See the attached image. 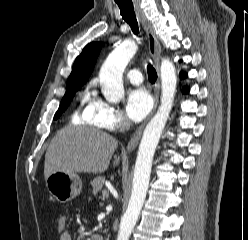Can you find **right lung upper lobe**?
I'll return each instance as SVG.
<instances>
[{
  "label": "right lung upper lobe",
  "instance_id": "1",
  "mask_svg": "<svg viewBox=\"0 0 248 240\" xmlns=\"http://www.w3.org/2000/svg\"><path fill=\"white\" fill-rule=\"evenodd\" d=\"M101 48V42H92L86 45L82 53L76 58L68 81L75 80L84 84L93 71Z\"/></svg>",
  "mask_w": 248,
  "mask_h": 240
}]
</instances>
